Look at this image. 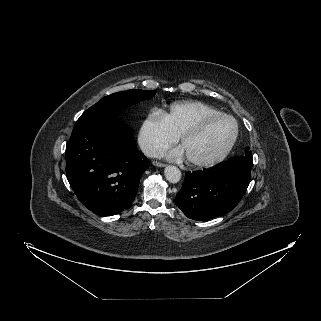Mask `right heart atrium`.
<instances>
[{
  "label": "right heart atrium",
  "mask_w": 321,
  "mask_h": 321,
  "mask_svg": "<svg viewBox=\"0 0 321 321\" xmlns=\"http://www.w3.org/2000/svg\"><path fill=\"white\" fill-rule=\"evenodd\" d=\"M177 140L166 127L163 116L159 111L151 112L142 122L138 141L143 152L153 156L168 148Z\"/></svg>",
  "instance_id": "d8ad5b80"
}]
</instances>
